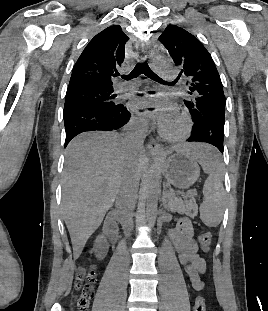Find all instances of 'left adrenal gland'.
I'll list each match as a JSON object with an SVG mask.
<instances>
[{"label": "left adrenal gland", "instance_id": "a2214340", "mask_svg": "<svg viewBox=\"0 0 268 311\" xmlns=\"http://www.w3.org/2000/svg\"><path fill=\"white\" fill-rule=\"evenodd\" d=\"M166 190H165V188H164V190H163V197H165L166 196Z\"/></svg>", "mask_w": 268, "mask_h": 311}]
</instances>
